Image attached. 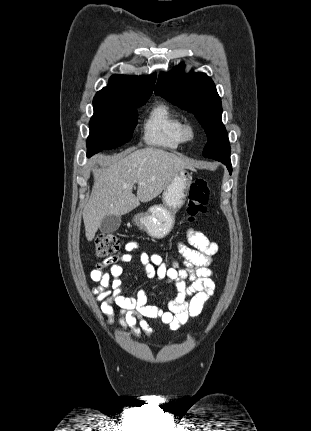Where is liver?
<instances>
[{
    "label": "liver",
    "instance_id": "6515ba94",
    "mask_svg": "<svg viewBox=\"0 0 311 431\" xmlns=\"http://www.w3.org/2000/svg\"><path fill=\"white\" fill-rule=\"evenodd\" d=\"M108 168H93L94 186L83 210L85 235L92 241L105 216H124L164 192L174 176L193 166L164 150H125ZM137 180V194H133ZM143 182V184H139Z\"/></svg>",
    "mask_w": 311,
    "mask_h": 431
}]
</instances>
